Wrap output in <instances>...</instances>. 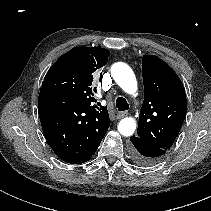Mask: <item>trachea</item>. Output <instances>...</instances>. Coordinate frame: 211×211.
<instances>
[{
    "label": "trachea",
    "instance_id": "trachea-1",
    "mask_svg": "<svg viewBox=\"0 0 211 211\" xmlns=\"http://www.w3.org/2000/svg\"><path fill=\"white\" fill-rule=\"evenodd\" d=\"M116 107L119 111H126L129 109L128 102L123 97H118L116 99Z\"/></svg>",
    "mask_w": 211,
    "mask_h": 211
}]
</instances>
